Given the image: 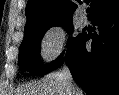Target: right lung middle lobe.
I'll use <instances>...</instances> for the list:
<instances>
[{
    "label": "right lung middle lobe",
    "mask_w": 119,
    "mask_h": 95,
    "mask_svg": "<svg viewBox=\"0 0 119 95\" xmlns=\"http://www.w3.org/2000/svg\"><path fill=\"white\" fill-rule=\"evenodd\" d=\"M52 26H63L69 33L72 32V21H59L41 25L24 33L23 41L19 48V66L22 71H28L32 75L42 76L51 72L54 66L61 60L64 52L52 63L43 65L40 60L41 39L45 32ZM70 38L67 42L68 48L77 40Z\"/></svg>",
    "instance_id": "1"
}]
</instances>
